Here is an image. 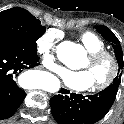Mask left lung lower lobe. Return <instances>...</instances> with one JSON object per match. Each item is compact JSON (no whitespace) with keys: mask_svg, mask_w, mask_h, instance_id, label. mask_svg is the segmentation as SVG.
I'll use <instances>...</instances> for the list:
<instances>
[{"mask_svg":"<svg viewBox=\"0 0 124 124\" xmlns=\"http://www.w3.org/2000/svg\"><path fill=\"white\" fill-rule=\"evenodd\" d=\"M59 93L50 99L52 115L58 124H95L111 108L117 88L108 86L103 91L87 96L69 93L63 88Z\"/></svg>","mask_w":124,"mask_h":124,"instance_id":"0a47b994","label":"left lung lower lobe"}]
</instances>
